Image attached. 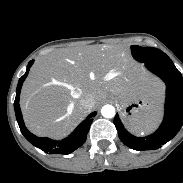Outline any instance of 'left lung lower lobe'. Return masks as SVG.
Segmentation results:
<instances>
[{
    "instance_id": "left-lung-lower-lobe-1",
    "label": "left lung lower lobe",
    "mask_w": 183,
    "mask_h": 183,
    "mask_svg": "<svg viewBox=\"0 0 183 183\" xmlns=\"http://www.w3.org/2000/svg\"><path fill=\"white\" fill-rule=\"evenodd\" d=\"M146 68L166 84L165 114L159 129L147 137H135L123 127L118 115L114 124L121 141L138 150H154L171 140L183 125V78L170 58L144 62Z\"/></svg>"
}]
</instances>
